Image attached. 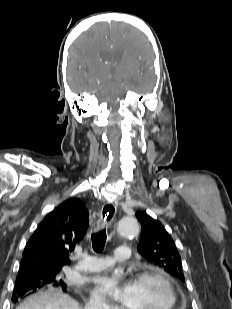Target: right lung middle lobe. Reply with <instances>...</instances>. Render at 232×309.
I'll return each mask as SVG.
<instances>
[{"label":"right lung middle lobe","instance_id":"obj_1","mask_svg":"<svg viewBox=\"0 0 232 309\" xmlns=\"http://www.w3.org/2000/svg\"><path fill=\"white\" fill-rule=\"evenodd\" d=\"M60 270H49V271H39L36 274L26 271V270H20L18 272L17 278H16V284H27L32 282H39L42 288L44 287H63L65 286V283L62 279L59 278Z\"/></svg>","mask_w":232,"mask_h":309}]
</instances>
